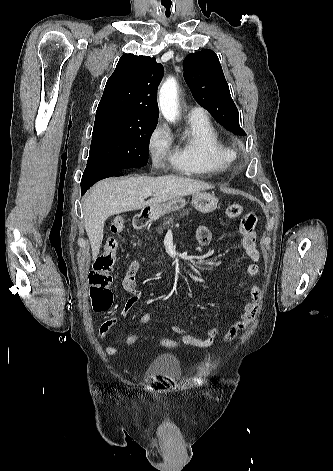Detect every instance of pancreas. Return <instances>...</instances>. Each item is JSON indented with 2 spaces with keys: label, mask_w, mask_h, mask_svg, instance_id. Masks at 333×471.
<instances>
[{
  "label": "pancreas",
  "mask_w": 333,
  "mask_h": 471,
  "mask_svg": "<svg viewBox=\"0 0 333 471\" xmlns=\"http://www.w3.org/2000/svg\"><path fill=\"white\" fill-rule=\"evenodd\" d=\"M185 214H188V210H187V209H184V210L181 212V215H182V216H184ZM169 223H170L169 217L163 218V223L156 229L157 233H158V234H162V233H163V230L168 227V224H169ZM138 244H140V242H139Z\"/></svg>",
  "instance_id": "pancreas-1"
}]
</instances>
